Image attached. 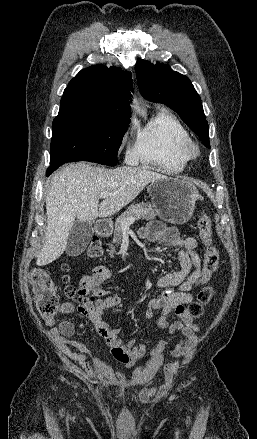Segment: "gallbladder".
I'll return each mask as SVG.
<instances>
[{
    "mask_svg": "<svg viewBox=\"0 0 257 439\" xmlns=\"http://www.w3.org/2000/svg\"><path fill=\"white\" fill-rule=\"evenodd\" d=\"M92 235V222L77 220L68 235L66 254L69 256L80 255L86 249Z\"/></svg>",
    "mask_w": 257,
    "mask_h": 439,
    "instance_id": "obj_1",
    "label": "gallbladder"
}]
</instances>
